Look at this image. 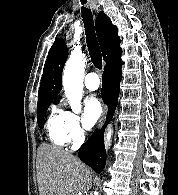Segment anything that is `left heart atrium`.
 <instances>
[{
  "instance_id": "39dd6f15",
  "label": "left heart atrium",
  "mask_w": 178,
  "mask_h": 195,
  "mask_svg": "<svg viewBox=\"0 0 178 195\" xmlns=\"http://www.w3.org/2000/svg\"><path fill=\"white\" fill-rule=\"evenodd\" d=\"M102 114V105L95 96H89L84 102L83 126L86 129L92 128Z\"/></svg>"
}]
</instances>
